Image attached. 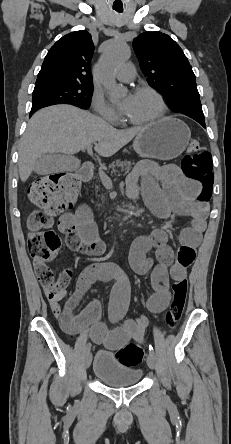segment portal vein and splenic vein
<instances>
[{
    "label": "portal vein and splenic vein",
    "instance_id": "18ae733b",
    "mask_svg": "<svg viewBox=\"0 0 231 444\" xmlns=\"http://www.w3.org/2000/svg\"><path fill=\"white\" fill-rule=\"evenodd\" d=\"M87 151L89 153L92 151L91 145H89L87 147ZM99 176H100V179L105 187H108V188L112 187L113 184H112L111 178L103 170H99ZM122 185H123V183H122Z\"/></svg>",
    "mask_w": 231,
    "mask_h": 444
}]
</instances>
